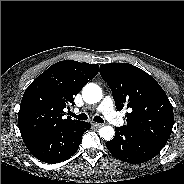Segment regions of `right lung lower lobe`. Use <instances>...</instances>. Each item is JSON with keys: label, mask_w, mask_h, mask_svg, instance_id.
<instances>
[{"label": "right lung lower lobe", "mask_w": 184, "mask_h": 184, "mask_svg": "<svg viewBox=\"0 0 184 184\" xmlns=\"http://www.w3.org/2000/svg\"><path fill=\"white\" fill-rule=\"evenodd\" d=\"M90 127V123L80 121L62 131L52 132L24 143L38 160L49 164L59 163L76 153L82 135Z\"/></svg>", "instance_id": "right-lung-lower-lobe-1"}]
</instances>
